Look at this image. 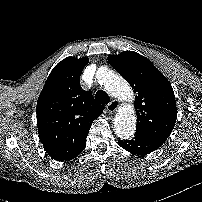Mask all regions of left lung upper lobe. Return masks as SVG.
Instances as JSON below:
<instances>
[{"mask_svg":"<svg viewBox=\"0 0 202 202\" xmlns=\"http://www.w3.org/2000/svg\"><path fill=\"white\" fill-rule=\"evenodd\" d=\"M109 62L137 94L134 101L136 134L167 139L177 118L175 95L168 79L150 60L134 51L111 55Z\"/></svg>","mask_w":202,"mask_h":202,"instance_id":"obj_1","label":"left lung upper lobe"}]
</instances>
